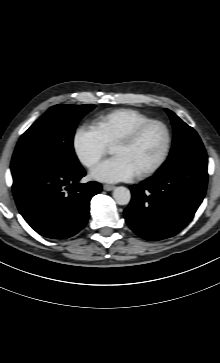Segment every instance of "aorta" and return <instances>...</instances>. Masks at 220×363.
Here are the masks:
<instances>
[{
	"instance_id": "obj_1",
	"label": "aorta",
	"mask_w": 220,
	"mask_h": 363,
	"mask_svg": "<svg viewBox=\"0 0 220 363\" xmlns=\"http://www.w3.org/2000/svg\"><path fill=\"white\" fill-rule=\"evenodd\" d=\"M113 198L119 205H127L131 200L130 190L126 187H116L113 192Z\"/></svg>"
}]
</instances>
